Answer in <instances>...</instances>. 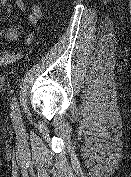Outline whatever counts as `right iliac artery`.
I'll return each mask as SVG.
<instances>
[{"label":"right iliac artery","instance_id":"82829eb1","mask_svg":"<svg viewBox=\"0 0 131 177\" xmlns=\"http://www.w3.org/2000/svg\"><path fill=\"white\" fill-rule=\"evenodd\" d=\"M16 97L12 99L11 109L14 117H17L18 115V108H17V101Z\"/></svg>","mask_w":131,"mask_h":177}]
</instances>
